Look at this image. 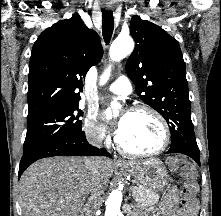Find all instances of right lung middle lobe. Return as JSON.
I'll return each instance as SVG.
<instances>
[{
	"mask_svg": "<svg viewBox=\"0 0 221 216\" xmlns=\"http://www.w3.org/2000/svg\"><path fill=\"white\" fill-rule=\"evenodd\" d=\"M82 115L78 104H75L28 116L23 154L52 141L80 134L82 122L79 118Z\"/></svg>",
	"mask_w": 221,
	"mask_h": 216,
	"instance_id": "right-lung-middle-lobe-1",
	"label": "right lung middle lobe"
}]
</instances>
